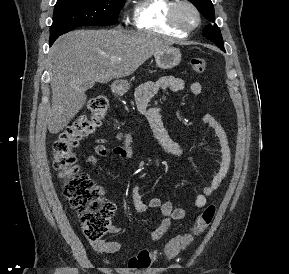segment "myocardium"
I'll list each match as a JSON object with an SVG mask.
<instances>
[{"label":"myocardium","mask_w":289,"mask_h":274,"mask_svg":"<svg viewBox=\"0 0 289 274\" xmlns=\"http://www.w3.org/2000/svg\"><path fill=\"white\" fill-rule=\"evenodd\" d=\"M181 7H188L189 9L192 10L196 18L195 23H193L192 25H185L181 22L178 15ZM168 22L170 26H172L174 29L184 34H188L200 26L201 13L197 8V6L190 0H174V3L171 5L168 12Z\"/></svg>","instance_id":"myocardium-1"}]
</instances>
